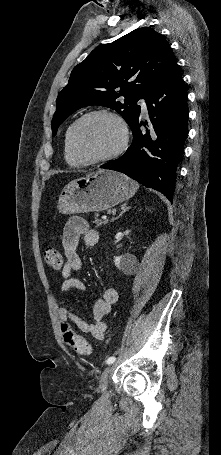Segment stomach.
Instances as JSON below:
<instances>
[{
	"label": "stomach",
	"instance_id": "stomach-1",
	"mask_svg": "<svg viewBox=\"0 0 221 455\" xmlns=\"http://www.w3.org/2000/svg\"><path fill=\"white\" fill-rule=\"evenodd\" d=\"M138 187L124 174L98 170L67 184L59 196L57 208L62 214L108 210L131 198Z\"/></svg>",
	"mask_w": 221,
	"mask_h": 455
}]
</instances>
